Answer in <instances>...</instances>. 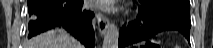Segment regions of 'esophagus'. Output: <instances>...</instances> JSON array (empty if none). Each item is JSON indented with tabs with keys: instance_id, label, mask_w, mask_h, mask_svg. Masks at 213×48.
I'll return each mask as SVG.
<instances>
[{
	"instance_id": "1",
	"label": "esophagus",
	"mask_w": 213,
	"mask_h": 48,
	"mask_svg": "<svg viewBox=\"0 0 213 48\" xmlns=\"http://www.w3.org/2000/svg\"><path fill=\"white\" fill-rule=\"evenodd\" d=\"M97 24H98V30H99L100 34L103 36L105 34L108 24H109L107 17L103 16L102 14H98Z\"/></svg>"
}]
</instances>
